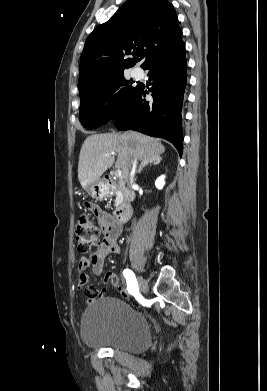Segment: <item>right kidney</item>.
Returning <instances> with one entry per match:
<instances>
[{
  "mask_svg": "<svg viewBox=\"0 0 267 391\" xmlns=\"http://www.w3.org/2000/svg\"><path fill=\"white\" fill-rule=\"evenodd\" d=\"M164 185H165V176L162 175L156 179L155 186L157 189L161 190Z\"/></svg>",
  "mask_w": 267,
  "mask_h": 391,
  "instance_id": "ca27d5eb",
  "label": "right kidney"
}]
</instances>
